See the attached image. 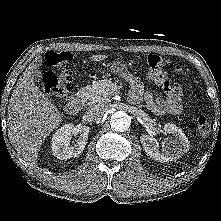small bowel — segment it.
<instances>
[{
  "mask_svg": "<svg viewBox=\"0 0 221 221\" xmlns=\"http://www.w3.org/2000/svg\"><path fill=\"white\" fill-rule=\"evenodd\" d=\"M124 79L130 84L129 99L132 103L144 100L146 107L154 114H179L182 111V89L177 83L164 86L165 97H154L150 92H144L142 81L131 73H124Z\"/></svg>",
  "mask_w": 221,
  "mask_h": 221,
  "instance_id": "small-bowel-1",
  "label": "small bowel"
}]
</instances>
